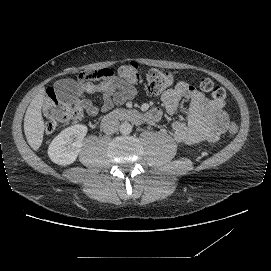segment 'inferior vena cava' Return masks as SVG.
Segmentation results:
<instances>
[{
	"instance_id": "obj_1",
	"label": "inferior vena cava",
	"mask_w": 271,
	"mask_h": 271,
	"mask_svg": "<svg viewBox=\"0 0 271 271\" xmlns=\"http://www.w3.org/2000/svg\"><path fill=\"white\" fill-rule=\"evenodd\" d=\"M101 126L105 134H113L118 131L120 122L112 115H107L102 119Z\"/></svg>"
}]
</instances>
